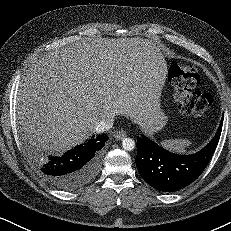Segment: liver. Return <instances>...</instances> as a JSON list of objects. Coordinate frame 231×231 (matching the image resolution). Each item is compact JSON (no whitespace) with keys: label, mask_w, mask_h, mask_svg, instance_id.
Here are the masks:
<instances>
[{"label":"liver","mask_w":231,"mask_h":231,"mask_svg":"<svg viewBox=\"0 0 231 231\" xmlns=\"http://www.w3.org/2000/svg\"><path fill=\"white\" fill-rule=\"evenodd\" d=\"M167 64L144 38L79 41L39 59L23 76L17 116L38 148L64 152L101 120L126 115L145 132L166 120L160 105Z\"/></svg>","instance_id":"obj_1"}]
</instances>
